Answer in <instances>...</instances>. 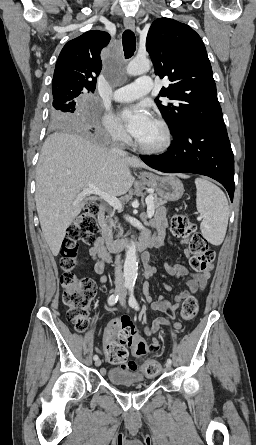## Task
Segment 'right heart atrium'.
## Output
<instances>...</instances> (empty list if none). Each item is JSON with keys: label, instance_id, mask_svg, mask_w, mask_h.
<instances>
[{"label": "right heart atrium", "instance_id": "d8ad5b80", "mask_svg": "<svg viewBox=\"0 0 256 445\" xmlns=\"http://www.w3.org/2000/svg\"><path fill=\"white\" fill-rule=\"evenodd\" d=\"M102 124L106 134L116 142H123L127 139L123 127L111 113H105L102 118Z\"/></svg>", "mask_w": 256, "mask_h": 445}]
</instances>
